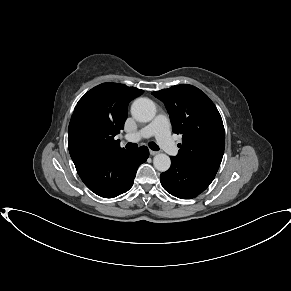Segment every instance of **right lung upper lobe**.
Returning a JSON list of instances; mask_svg holds the SVG:
<instances>
[{"label": "right lung upper lobe", "instance_id": "obj_1", "mask_svg": "<svg viewBox=\"0 0 291 291\" xmlns=\"http://www.w3.org/2000/svg\"><path fill=\"white\" fill-rule=\"evenodd\" d=\"M144 91L124 84L103 83L77 103L68 128V146L102 155L124 151L114 136L123 129L129 102Z\"/></svg>", "mask_w": 291, "mask_h": 291}]
</instances>
